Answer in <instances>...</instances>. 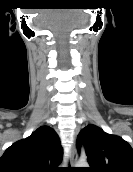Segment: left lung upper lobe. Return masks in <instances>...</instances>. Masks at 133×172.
I'll return each mask as SVG.
<instances>
[{
  "label": "left lung upper lobe",
  "mask_w": 133,
  "mask_h": 172,
  "mask_svg": "<svg viewBox=\"0 0 133 172\" xmlns=\"http://www.w3.org/2000/svg\"><path fill=\"white\" fill-rule=\"evenodd\" d=\"M82 145L90 165L87 172H133V149L121 137L88 125L77 137L79 151Z\"/></svg>",
  "instance_id": "left-lung-upper-lobe-1"
}]
</instances>
